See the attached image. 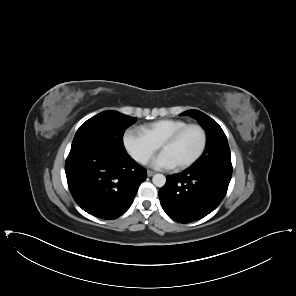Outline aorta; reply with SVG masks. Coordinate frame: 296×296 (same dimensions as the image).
<instances>
[{
	"mask_svg": "<svg viewBox=\"0 0 296 296\" xmlns=\"http://www.w3.org/2000/svg\"><path fill=\"white\" fill-rule=\"evenodd\" d=\"M152 182L156 187H163L166 183V177L163 174H155L152 178Z\"/></svg>",
	"mask_w": 296,
	"mask_h": 296,
	"instance_id": "obj_1",
	"label": "aorta"
}]
</instances>
